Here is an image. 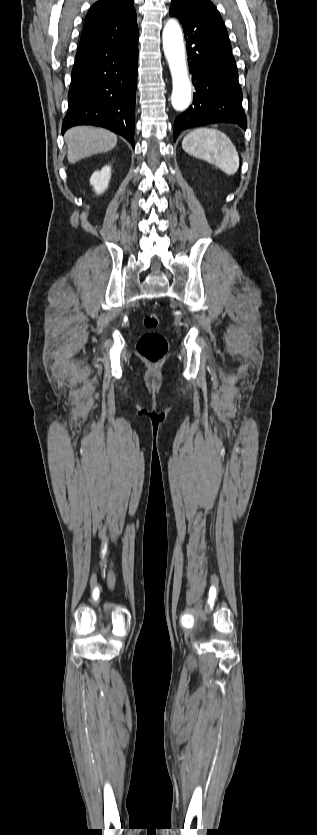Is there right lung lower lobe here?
<instances>
[{
    "label": "right lung lower lobe",
    "instance_id": "1",
    "mask_svg": "<svg viewBox=\"0 0 317 835\" xmlns=\"http://www.w3.org/2000/svg\"><path fill=\"white\" fill-rule=\"evenodd\" d=\"M138 36L116 46H79L62 134L78 125L107 128L134 146Z\"/></svg>",
    "mask_w": 317,
    "mask_h": 835
}]
</instances>
